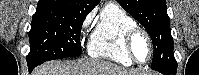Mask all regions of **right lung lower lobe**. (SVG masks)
Instances as JSON below:
<instances>
[{"label":"right lung lower lobe","instance_id":"98d812e1","mask_svg":"<svg viewBox=\"0 0 199 75\" xmlns=\"http://www.w3.org/2000/svg\"><path fill=\"white\" fill-rule=\"evenodd\" d=\"M36 66H33L31 64H28V69H29V72H31Z\"/></svg>","mask_w":199,"mask_h":75}]
</instances>
